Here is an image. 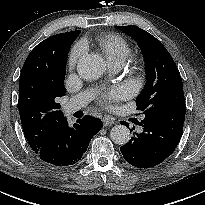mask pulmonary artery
I'll return each mask as SVG.
<instances>
[{
  "mask_svg": "<svg viewBox=\"0 0 205 205\" xmlns=\"http://www.w3.org/2000/svg\"><path fill=\"white\" fill-rule=\"evenodd\" d=\"M122 63L116 62L110 64V68L112 71H117L122 67ZM92 98V92L84 91L73 98H71L65 105H64V112L66 114H71L81 108H83Z\"/></svg>",
  "mask_w": 205,
  "mask_h": 205,
  "instance_id": "1",
  "label": "pulmonary artery"
}]
</instances>
